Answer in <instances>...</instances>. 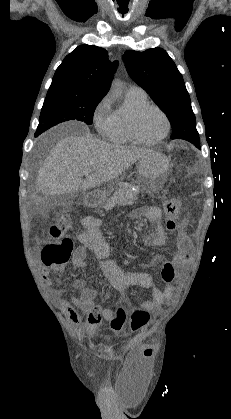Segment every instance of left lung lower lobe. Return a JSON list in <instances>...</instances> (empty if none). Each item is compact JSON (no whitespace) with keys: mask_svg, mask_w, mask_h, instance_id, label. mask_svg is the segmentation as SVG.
I'll return each mask as SVG.
<instances>
[{"mask_svg":"<svg viewBox=\"0 0 231 419\" xmlns=\"http://www.w3.org/2000/svg\"><path fill=\"white\" fill-rule=\"evenodd\" d=\"M197 148H200V142L199 143H193Z\"/></svg>","mask_w":231,"mask_h":419,"instance_id":"0a47b994","label":"left lung lower lobe"}]
</instances>
